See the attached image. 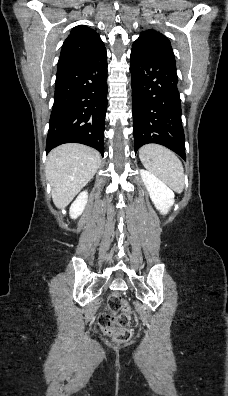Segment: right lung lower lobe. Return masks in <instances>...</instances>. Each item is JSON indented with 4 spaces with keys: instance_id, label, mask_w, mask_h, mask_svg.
<instances>
[{
    "instance_id": "right-lung-lower-lobe-1",
    "label": "right lung lower lobe",
    "mask_w": 228,
    "mask_h": 396,
    "mask_svg": "<svg viewBox=\"0 0 228 396\" xmlns=\"http://www.w3.org/2000/svg\"><path fill=\"white\" fill-rule=\"evenodd\" d=\"M107 54L58 66L46 152L64 143H81L104 155L107 110Z\"/></svg>"
}]
</instances>
